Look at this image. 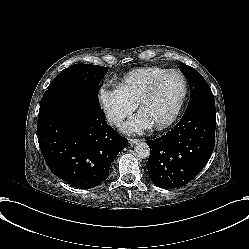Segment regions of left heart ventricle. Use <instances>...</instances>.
Returning a JSON list of instances; mask_svg holds the SVG:
<instances>
[{
    "instance_id": "b2bd125f",
    "label": "left heart ventricle",
    "mask_w": 249,
    "mask_h": 249,
    "mask_svg": "<svg viewBox=\"0 0 249 249\" xmlns=\"http://www.w3.org/2000/svg\"><path fill=\"white\" fill-rule=\"evenodd\" d=\"M181 92L177 78H172L144 107L142 117L149 123H163L173 113Z\"/></svg>"
}]
</instances>
